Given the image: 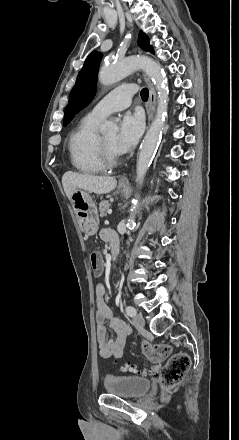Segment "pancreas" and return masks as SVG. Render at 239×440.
<instances>
[{
	"label": "pancreas",
	"mask_w": 239,
	"mask_h": 440,
	"mask_svg": "<svg viewBox=\"0 0 239 440\" xmlns=\"http://www.w3.org/2000/svg\"><path fill=\"white\" fill-rule=\"evenodd\" d=\"M111 204H109L108 200H102L99 204V212H100V218H104V216H107L106 212L109 210Z\"/></svg>",
	"instance_id": "obj_1"
}]
</instances>
